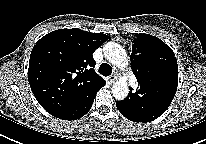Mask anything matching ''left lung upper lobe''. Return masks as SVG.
I'll use <instances>...</instances> for the list:
<instances>
[{"label":"left lung upper lobe","instance_id":"obj_1","mask_svg":"<svg viewBox=\"0 0 206 144\" xmlns=\"http://www.w3.org/2000/svg\"><path fill=\"white\" fill-rule=\"evenodd\" d=\"M131 67L140 88L152 98L163 97L167 105L174 98L178 85V65L172 49L159 38L135 34ZM138 89V90H139ZM131 108L139 107L132 101Z\"/></svg>","mask_w":206,"mask_h":144}]
</instances>
